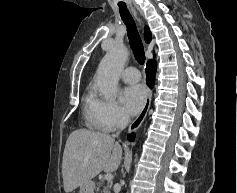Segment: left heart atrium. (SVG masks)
I'll return each mask as SVG.
<instances>
[{
  "label": "left heart atrium",
  "mask_w": 237,
  "mask_h": 193,
  "mask_svg": "<svg viewBox=\"0 0 237 193\" xmlns=\"http://www.w3.org/2000/svg\"><path fill=\"white\" fill-rule=\"evenodd\" d=\"M146 96V90L140 84L125 87L121 94V101L126 112L130 115L138 113L144 106Z\"/></svg>",
  "instance_id": "left-heart-atrium-1"
}]
</instances>
